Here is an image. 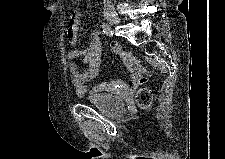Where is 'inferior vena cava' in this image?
Returning a JSON list of instances; mask_svg holds the SVG:
<instances>
[{"label":"inferior vena cava","mask_w":225,"mask_h":159,"mask_svg":"<svg viewBox=\"0 0 225 159\" xmlns=\"http://www.w3.org/2000/svg\"><path fill=\"white\" fill-rule=\"evenodd\" d=\"M103 3H104L105 6H106V5H108V6L111 5V1H110V0H104Z\"/></svg>","instance_id":"inferior-vena-cava-1"}]
</instances>
